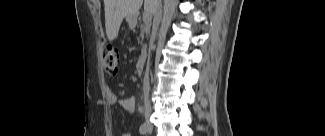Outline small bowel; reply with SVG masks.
<instances>
[{"mask_svg":"<svg viewBox=\"0 0 325 136\" xmlns=\"http://www.w3.org/2000/svg\"><path fill=\"white\" fill-rule=\"evenodd\" d=\"M106 97L109 104H115L117 102L116 94L110 89H107ZM120 105L124 110L130 113H134L137 107L136 100L133 97L122 99Z\"/></svg>","mask_w":325,"mask_h":136,"instance_id":"1","label":"small bowel"}]
</instances>
